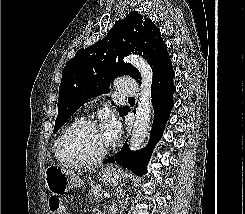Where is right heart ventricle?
<instances>
[{"mask_svg":"<svg viewBox=\"0 0 245 214\" xmlns=\"http://www.w3.org/2000/svg\"><path fill=\"white\" fill-rule=\"evenodd\" d=\"M77 121H79V119L77 117L71 119L63 128L62 130L59 132V134L57 135L56 139L54 140V143H53V152L55 154V157L56 159L64 164V165H71L72 163H70L69 161L65 160L61 154H60V151H59V143H60V140L63 136V134L67 131V129L69 127H71L74 123H76Z\"/></svg>","mask_w":245,"mask_h":214,"instance_id":"1","label":"right heart ventricle"}]
</instances>
